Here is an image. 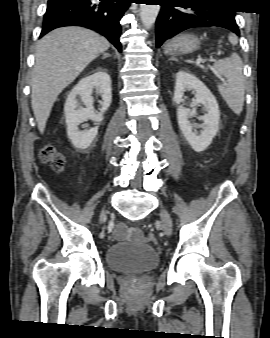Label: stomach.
I'll list each match as a JSON object with an SVG mask.
<instances>
[{
  "label": "stomach",
  "instance_id": "1",
  "mask_svg": "<svg viewBox=\"0 0 270 338\" xmlns=\"http://www.w3.org/2000/svg\"><path fill=\"white\" fill-rule=\"evenodd\" d=\"M200 39L188 33H182L171 39L164 47V53L171 56L190 54L200 47Z\"/></svg>",
  "mask_w": 270,
  "mask_h": 338
}]
</instances>
